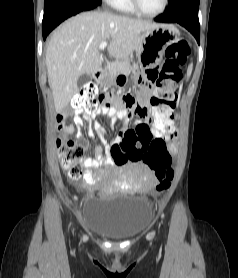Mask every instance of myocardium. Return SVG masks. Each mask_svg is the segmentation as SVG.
I'll return each mask as SVG.
<instances>
[{
	"instance_id": "f54148a6",
	"label": "myocardium",
	"mask_w": 238,
	"mask_h": 278,
	"mask_svg": "<svg viewBox=\"0 0 238 278\" xmlns=\"http://www.w3.org/2000/svg\"><path fill=\"white\" fill-rule=\"evenodd\" d=\"M130 2H131V5H132L134 11L136 13H138L139 15L146 17V18H157V17L161 16L167 10L168 4H169V0H163L162 8L158 12L148 13L141 8L138 0H130Z\"/></svg>"
}]
</instances>
